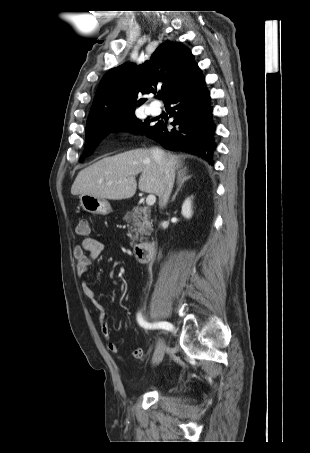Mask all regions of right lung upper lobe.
I'll return each instance as SVG.
<instances>
[{
  "mask_svg": "<svg viewBox=\"0 0 310 453\" xmlns=\"http://www.w3.org/2000/svg\"><path fill=\"white\" fill-rule=\"evenodd\" d=\"M197 68L190 51L167 41L142 66L125 63L109 70L98 86L86 129L133 113L146 100L138 95L154 93L157 86L165 103Z\"/></svg>",
  "mask_w": 310,
  "mask_h": 453,
  "instance_id": "right-lung-upper-lobe-1",
  "label": "right lung upper lobe"
}]
</instances>
